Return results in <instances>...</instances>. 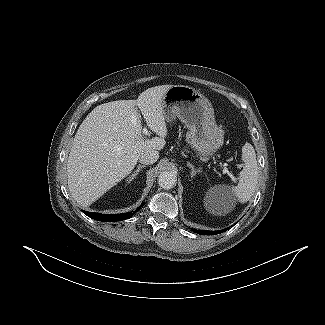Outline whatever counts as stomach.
I'll return each mask as SVG.
<instances>
[{"instance_id": "obj_1", "label": "stomach", "mask_w": 325, "mask_h": 325, "mask_svg": "<svg viewBox=\"0 0 325 325\" xmlns=\"http://www.w3.org/2000/svg\"><path fill=\"white\" fill-rule=\"evenodd\" d=\"M165 120L180 119L188 132L186 140L202 158L212 156L224 143V131L215 121L211 102L192 87L173 85L162 98Z\"/></svg>"}]
</instances>
